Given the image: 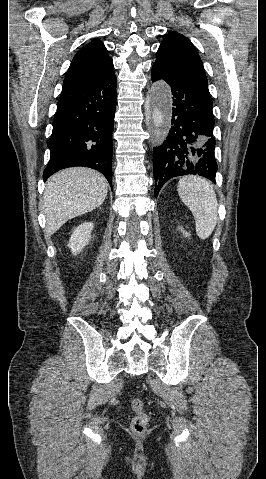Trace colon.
Masks as SVG:
<instances>
[{
  "instance_id": "colon-1",
  "label": "colon",
  "mask_w": 266,
  "mask_h": 479,
  "mask_svg": "<svg viewBox=\"0 0 266 479\" xmlns=\"http://www.w3.org/2000/svg\"><path fill=\"white\" fill-rule=\"evenodd\" d=\"M131 409L135 413L131 422V430L136 435H142L145 433L150 420L149 414L145 411L143 401L139 398L131 400Z\"/></svg>"
}]
</instances>
